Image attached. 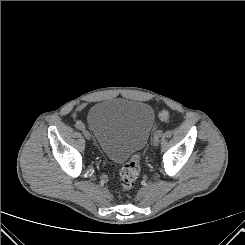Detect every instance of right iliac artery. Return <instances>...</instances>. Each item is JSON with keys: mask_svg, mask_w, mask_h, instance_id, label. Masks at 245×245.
<instances>
[{"mask_svg": "<svg viewBox=\"0 0 245 245\" xmlns=\"http://www.w3.org/2000/svg\"><path fill=\"white\" fill-rule=\"evenodd\" d=\"M75 127L78 129V130H83L85 128L84 124L81 123V122H77L75 124Z\"/></svg>", "mask_w": 245, "mask_h": 245, "instance_id": "obj_1", "label": "right iliac artery"}]
</instances>
